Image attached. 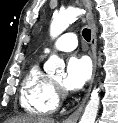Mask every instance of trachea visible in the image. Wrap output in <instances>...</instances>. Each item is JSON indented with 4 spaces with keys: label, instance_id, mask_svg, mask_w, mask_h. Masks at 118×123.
<instances>
[{
    "label": "trachea",
    "instance_id": "obj_1",
    "mask_svg": "<svg viewBox=\"0 0 118 123\" xmlns=\"http://www.w3.org/2000/svg\"><path fill=\"white\" fill-rule=\"evenodd\" d=\"M83 37L86 41L90 42L91 40V31L89 29H84L83 30Z\"/></svg>",
    "mask_w": 118,
    "mask_h": 123
}]
</instances>
